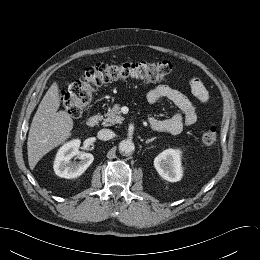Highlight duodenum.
Wrapping results in <instances>:
<instances>
[{
	"label": "duodenum",
	"instance_id": "duodenum-1",
	"mask_svg": "<svg viewBox=\"0 0 260 260\" xmlns=\"http://www.w3.org/2000/svg\"><path fill=\"white\" fill-rule=\"evenodd\" d=\"M100 120H101V117H100L99 115H97V114L92 115V116H90V117L87 119L86 125H87L88 127H90V128L95 127V126L98 125V123L100 122Z\"/></svg>",
	"mask_w": 260,
	"mask_h": 260
}]
</instances>
